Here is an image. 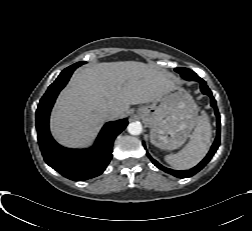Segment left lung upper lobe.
<instances>
[{
	"instance_id": "left-lung-upper-lobe-1",
	"label": "left lung upper lobe",
	"mask_w": 252,
	"mask_h": 231,
	"mask_svg": "<svg viewBox=\"0 0 252 231\" xmlns=\"http://www.w3.org/2000/svg\"><path fill=\"white\" fill-rule=\"evenodd\" d=\"M175 71L177 73H179L182 77L185 75V74H189V73H192V70H189L187 68H176Z\"/></svg>"
}]
</instances>
